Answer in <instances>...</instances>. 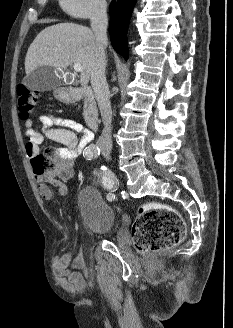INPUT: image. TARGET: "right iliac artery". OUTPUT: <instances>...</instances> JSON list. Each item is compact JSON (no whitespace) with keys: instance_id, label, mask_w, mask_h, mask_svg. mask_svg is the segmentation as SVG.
<instances>
[{"instance_id":"82829eb1","label":"right iliac artery","mask_w":233,"mask_h":328,"mask_svg":"<svg viewBox=\"0 0 233 328\" xmlns=\"http://www.w3.org/2000/svg\"><path fill=\"white\" fill-rule=\"evenodd\" d=\"M100 155V149L96 145H91L84 153V157L87 160H92L94 158H98ZM103 174L101 176V185L104 189L107 190L106 198L109 201L115 200L114 191L116 190V185H114L115 177L114 175L108 171L107 169H103Z\"/></svg>"}]
</instances>
